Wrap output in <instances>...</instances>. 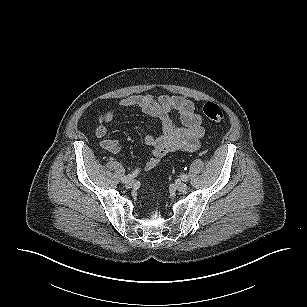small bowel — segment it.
<instances>
[{"instance_id": "c3829d8e", "label": "small bowel", "mask_w": 307, "mask_h": 307, "mask_svg": "<svg viewBox=\"0 0 307 307\" xmlns=\"http://www.w3.org/2000/svg\"><path fill=\"white\" fill-rule=\"evenodd\" d=\"M119 104L123 108H138L160 122L159 134L145 136V143L152 147V154L144 163V169L150 170L156 167L163 157L172 152H192L199 148L200 140L205 134L203 119L195 112L193 102L183 96L164 94L156 98L151 94L132 95L122 98ZM172 113L178 115L182 126L173 121ZM115 115L116 110L100 114L95 129L96 137L101 139V147L110 154H117L120 151L119 141L105 138L107 124L115 118Z\"/></svg>"}]
</instances>
